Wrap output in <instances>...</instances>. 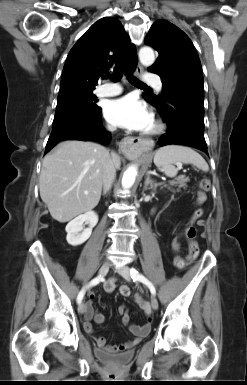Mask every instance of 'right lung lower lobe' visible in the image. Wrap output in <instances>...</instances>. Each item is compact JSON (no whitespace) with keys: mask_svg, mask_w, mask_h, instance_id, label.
<instances>
[{"mask_svg":"<svg viewBox=\"0 0 247 385\" xmlns=\"http://www.w3.org/2000/svg\"><path fill=\"white\" fill-rule=\"evenodd\" d=\"M100 112L101 109L92 113H76L54 121L45 154L62 140L105 142L107 132L101 125Z\"/></svg>","mask_w":247,"mask_h":385,"instance_id":"1","label":"right lung lower lobe"}]
</instances>
